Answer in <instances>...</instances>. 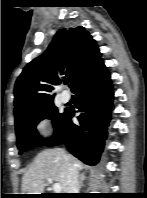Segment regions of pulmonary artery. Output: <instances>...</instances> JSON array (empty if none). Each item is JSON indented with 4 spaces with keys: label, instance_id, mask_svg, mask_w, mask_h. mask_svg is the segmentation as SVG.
Masks as SVG:
<instances>
[{
    "label": "pulmonary artery",
    "instance_id": "obj_1",
    "mask_svg": "<svg viewBox=\"0 0 147 198\" xmlns=\"http://www.w3.org/2000/svg\"><path fill=\"white\" fill-rule=\"evenodd\" d=\"M60 99H61V101H62L63 103H67V102L70 101L71 96H70V94H69L68 92L63 91V92L61 93V95H60Z\"/></svg>",
    "mask_w": 147,
    "mask_h": 198
}]
</instances>
